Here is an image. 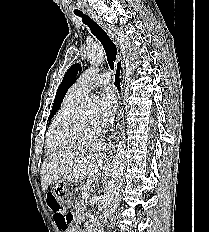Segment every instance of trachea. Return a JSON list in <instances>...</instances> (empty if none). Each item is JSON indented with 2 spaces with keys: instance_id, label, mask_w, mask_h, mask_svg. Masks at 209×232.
<instances>
[{
  "instance_id": "trachea-1",
  "label": "trachea",
  "mask_w": 209,
  "mask_h": 232,
  "mask_svg": "<svg viewBox=\"0 0 209 232\" xmlns=\"http://www.w3.org/2000/svg\"><path fill=\"white\" fill-rule=\"evenodd\" d=\"M74 13L81 17L82 22L88 26L91 33L101 42L104 47L109 66L113 70L117 55L116 45L113 43L106 31L96 21L91 19L88 15L83 14L81 11H75ZM118 82L120 83L119 77Z\"/></svg>"
}]
</instances>
